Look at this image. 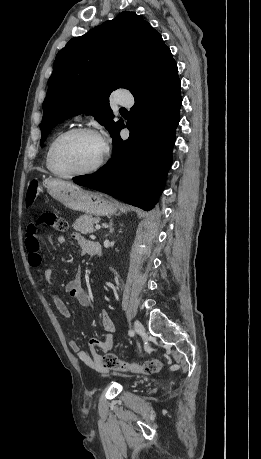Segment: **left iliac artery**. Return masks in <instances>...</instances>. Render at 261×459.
Returning a JSON list of instances; mask_svg holds the SVG:
<instances>
[{
    "instance_id": "1",
    "label": "left iliac artery",
    "mask_w": 261,
    "mask_h": 459,
    "mask_svg": "<svg viewBox=\"0 0 261 459\" xmlns=\"http://www.w3.org/2000/svg\"><path fill=\"white\" fill-rule=\"evenodd\" d=\"M128 334H129L130 336H134V331H133V330H129Z\"/></svg>"
}]
</instances>
